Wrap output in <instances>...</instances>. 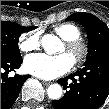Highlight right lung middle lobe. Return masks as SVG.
<instances>
[{"label": "right lung middle lobe", "instance_id": "dd1d6c3e", "mask_svg": "<svg viewBox=\"0 0 109 109\" xmlns=\"http://www.w3.org/2000/svg\"><path fill=\"white\" fill-rule=\"evenodd\" d=\"M37 28L24 27L15 22L1 21V57H21L18 48L19 36Z\"/></svg>", "mask_w": 109, "mask_h": 109}]
</instances>
